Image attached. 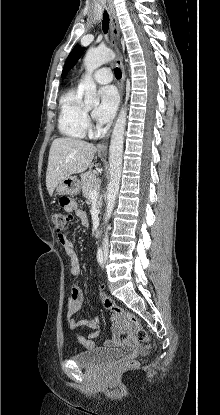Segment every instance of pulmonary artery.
I'll list each match as a JSON object with an SVG mask.
<instances>
[{
	"instance_id": "e3ab8cb5",
	"label": "pulmonary artery",
	"mask_w": 220,
	"mask_h": 415,
	"mask_svg": "<svg viewBox=\"0 0 220 415\" xmlns=\"http://www.w3.org/2000/svg\"><path fill=\"white\" fill-rule=\"evenodd\" d=\"M93 78L99 84H107L112 81L113 74L109 68H101L94 73Z\"/></svg>"
}]
</instances>
